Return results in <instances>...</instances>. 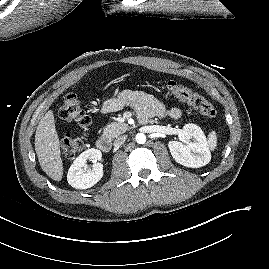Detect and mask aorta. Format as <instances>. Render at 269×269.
<instances>
[{
	"label": "aorta",
	"mask_w": 269,
	"mask_h": 269,
	"mask_svg": "<svg viewBox=\"0 0 269 269\" xmlns=\"http://www.w3.org/2000/svg\"><path fill=\"white\" fill-rule=\"evenodd\" d=\"M136 142L139 144H144L146 142V136L144 133H138L136 135Z\"/></svg>",
	"instance_id": "762f6f07"
}]
</instances>
